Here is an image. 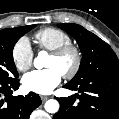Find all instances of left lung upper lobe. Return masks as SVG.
<instances>
[{
	"instance_id": "left-lung-upper-lobe-1",
	"label": "left lung upper lobe",
	"mask_w": 119,
	"mask_h": 119,
	"mask_svg": "<svg viewBox=\"0 0 119 119\" xmlns=\"http://www.w3.org/2000/svg\"><path fill=\"white\" fill-rule=\"evenodd\" d=\"M58 27L75 38L83 53L79 70L70 84L84 83L106 74L119 75V60L106 42L78 24L64 23Z\"/></svg>"
}]
</instances>
